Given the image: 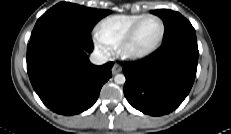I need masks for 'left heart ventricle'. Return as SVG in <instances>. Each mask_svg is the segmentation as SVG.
Instances as JSON below:
<instances>
[{"label":"left heart ventricle","mask_w":231,"mask_h":134,"mask_svg":"<svg viewBox=\"0 0 231 134\" xmlns=\"http://www.w3.org/2000/svg\"><path fill=\"white\" fill-rule=\"evenodd\" d=\"M161 30V23L158 19H147L138 30L131 45V50L134 52H143L150 49L158 41Z\"/></svg>","instance_id":"left-heart-ventricle-1"}]
</instances>
